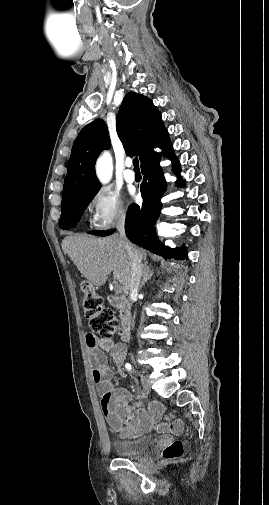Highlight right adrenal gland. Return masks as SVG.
Returning a JSON list of instances; mask_svg holds the SVG:
<instances>
[{
	"mask_svg": "<svg viewBox=\"0 0 269 505\" xmlns=\"http://www.w3.org/2000/svg\"><path fill=\"white\" fill-rule=\"evenodd\" d=\"M154 274V270L150 269L148 266V261H145L144 267H143V276H142V281L140 284V288H142L147 280H149Z\"/></svg>",
	"mask_w": 269,
	"mask_h": 505,
	"instance_id": "obj_1",
	"label": "right adrenal gland"
}]
</instances>
